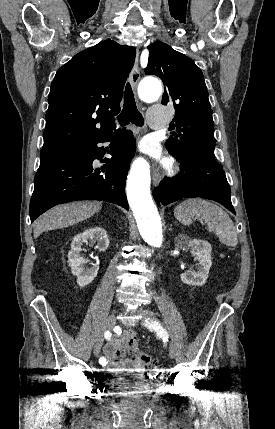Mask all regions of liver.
<instances>
[{
  "instance_id": "liver-1",
  "label": "liver",
  "mask_w": 275,
  "mask_h": 429,
  "mask_svg": "<svg viewBox=\"0 0 275 429\" xmlns=\"http://www.w3.org/2000/svg\"><path fill=\"white\" fill-rule=\"evenodd\" d=\"M102 207L100 202H74L55 206L34 222V237L42 232L68 227L81 222Z\"/></svg>"
}]
</instances>
